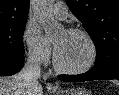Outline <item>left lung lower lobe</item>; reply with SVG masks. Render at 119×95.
<instances>
[{
    "label": "left lung lower lobe",
    "mask_w": 119,
    "mask_h": 95,
    "mask_svg": "<svg viewBox=\"0 0 119 95\" xmlns=\"http://www.w3.org/2000/svg\"><path fill=\"white\" fill-rule=\"evenodd\" d=\"M58 78L68 82H83L90 80H108L118 79L119 80V63L115 64L112 68L100 72L95 69H91L84 74L79 75H59Z\"/></svg>",
    "instance_id": "obj_1"
}]
</instances>
